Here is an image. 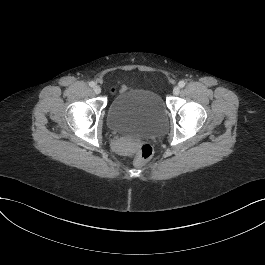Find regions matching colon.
Instances as JSON below:
<instances>
[{"instance_id": "colon-1", "label": "colon", "mask_w": 265, "mask_h": 265, "mask_svg": "<svg viewBox=\"0 0 265 265\" xmlns=\"http://www.w3.org/2000/svg\"><path fill=\"white\" fill-rule=\"evenodd\" d=\"M153 154V148L151 145L145 143L138 147L135 156V165H143Z\"/></svg>"}]
</instances>
